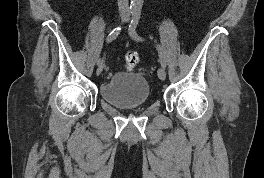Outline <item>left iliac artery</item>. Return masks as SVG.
Instances as JSON below:
<instances>
[{"mask_svg": "<svg viewBox=\"0 0 264 178\" xmlns=\"http://www.w3.org/2000/svg\"><path fill=\"white\" fill-rule=\"evenodd\" d=\"M140 20V10H136L133 12V18L131 20V24L129 26V35L136 41H143V38L138 35L136 32V26ZM159 60L162 67H166V56L162 49V47L157 45Z\"/></svg>", "mask_w": 264, "mask_h": 178, "instance_id": "left-iliac-artery-1", "label": "left iliac artery"}]
</instances>
